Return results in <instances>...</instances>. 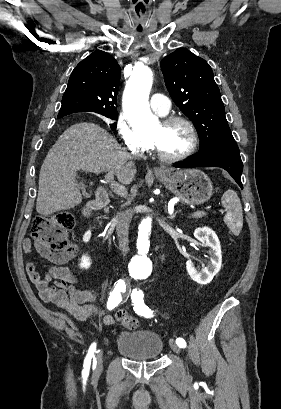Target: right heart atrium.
Returning <instances> with one entry per match:
<instances>
[{
	"instance_id": "1",
	"label": "right heart atrium",
	"mask_w": 281,
	"mask_h": 409,
	"mask_svg": "<svg viewBox=\"0 0 281 409\" xmlns=\"http://www.w3.org/2000/svg\"><path fill=\"white\" fill-rule=\"evenodd\" d=\"M140 115H118L115 121V128L120 136L121 143L126 149L135 150L143 143V138L137 132L134 123L128 117H138Z\"/></svg>"
}]
</instances>
